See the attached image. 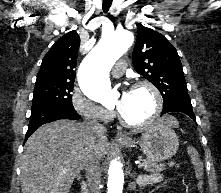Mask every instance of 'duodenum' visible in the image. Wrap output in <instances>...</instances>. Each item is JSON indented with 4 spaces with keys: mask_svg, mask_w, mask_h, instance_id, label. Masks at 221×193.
<instances>
[{
    "mask_svg": "<svg viewBox=\"0 0 221 193\" xmlns=\"http://www.w3.org/2000/svg\"><path fill=\"white\" fill-rule=\"evenodd\" d=\"M81 191H82V193H89L88 186L85 181H83L81 184Z\"/></svg>",
    "mask_w": 221,
    "mask_h": 193,
    "instance_id": "duodenum-1",
    "label": "duodenum"
}]
</instances>
